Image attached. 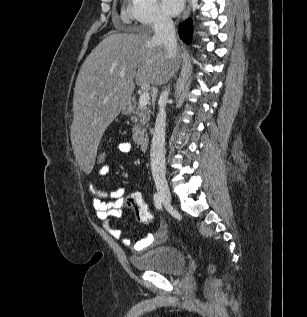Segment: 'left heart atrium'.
I'll return each instance as SVG.
<instances>
[{"instance_id":"left-heart-atrium-1","label":"left heart atrium","mask_w":307,"mask_h":317,"mask_svg":"<svg viewBox=\"0 0 307 317\" xmlns=\"http://www.w3.org/2000/svg\"><path fill=\"white\" fill-rule=\"evenodd\" d=\"M161 6L166 14L174 16L183 9L184 0H161Z\"/></svg>"}]
</instances>
